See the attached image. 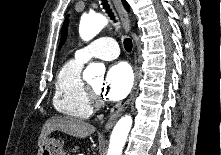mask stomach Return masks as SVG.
<instances>
[{
	"label": "stomach",
	"instance_id": "0dacf381",
	"mask_svg": "<svg viewBox=\"0 0 221 155\" xmlns=\"http://www.w3.org/2000/svg\"><path fill=\"white\" fill-rule=\"evenodd\" d=\"M38 155H65V152L59 140L47 138L41 145Z\"/></svg>",
	"mask_w": 221,
	"mask_h": 155
}]
</instances>
